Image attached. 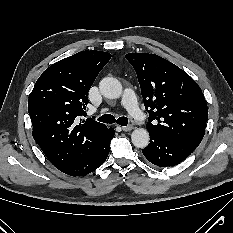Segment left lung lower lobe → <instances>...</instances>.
I'll list each match as a JSON object with an SVG mask.
<instances>
[{"instance_id":"1","label":"left lung lower lobe","mask_w":233,"mask_h":233,"mask_svg":"<svg viewBox=\"0 0 233 233\" xmlns=\"http://www.w3.org/2000/svg\"><path fill=\"white\" fill-rule=\"evenodd\" d=\"M150 143L142 152L152 164L170 167L187 158L197 146L188 142L149 132Z\"/></svg>"}]
</instances>
